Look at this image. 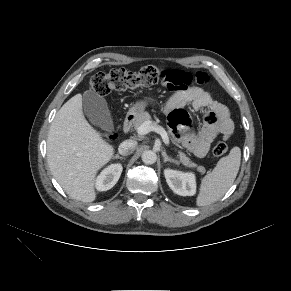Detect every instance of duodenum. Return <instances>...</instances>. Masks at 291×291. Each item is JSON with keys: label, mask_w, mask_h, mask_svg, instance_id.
Here are the masks:
<instances>
[{"label": "duodenum", "mask_w": 291, "mask_h": 291, "mask_svg": "<svg viewBox=\"0 0 291 291\" xmlns=\"http://www.w3.org/2000/svg\"><path fill=\"white\" fill-rule=\"evenodd\" d=\"M135 118H136V116H135L134 113H129L126 116V118L124 120V123H123V131L125 133H128L130 131V129L132 128V125H133V123L135 121Z\"/></svg>", "instance_id": "duodenum-1"}]
</instances>
